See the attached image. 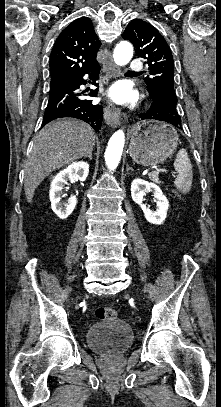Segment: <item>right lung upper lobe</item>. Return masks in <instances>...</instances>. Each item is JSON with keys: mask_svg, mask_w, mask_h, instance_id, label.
Returning a JSON list of instances; mask_svg holds the SVG:
<instances>
[{"mask_svg": "<svg viewBox=\"0 0 221 407\" xmlns=\"http://www.w3.org/2000/svg\"><path fill=\"white\" fill-rule=\"evenodd\" d=\"M100 47L92 21L82 17L70 23L58 36L50 55L51 86L72 79L98 65Z\"/></svg>", "mask_w": 221, "mask_h": 407, "instance_id": "obj_1", "label": "right lung upper lobe"}]
</instances>
